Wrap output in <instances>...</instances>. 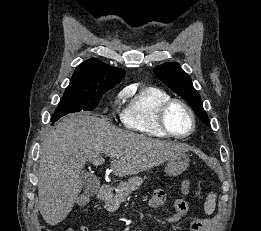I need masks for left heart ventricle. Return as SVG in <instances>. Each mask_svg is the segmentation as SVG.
Wrapping results in <instances>:
<instances>
[{"label":"left heart ventricle","mask_w":261,"mask_h":231,"mask_svg":"<svg viewBox=\"0 0 261 231\" xmlns=\"http://www.w3.org/2000/svg\"><path fill=\"white\" fill-rule=\"evenodd\" d=\"M167 123L176 134H186L191 128L188 112L181 105H173L167 113Z\"/></svg>","instance_id":"1"}]
</instances>
